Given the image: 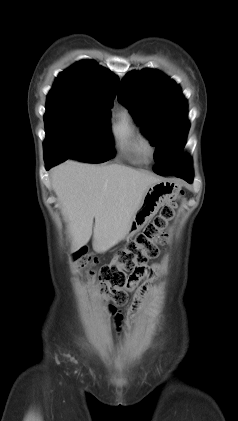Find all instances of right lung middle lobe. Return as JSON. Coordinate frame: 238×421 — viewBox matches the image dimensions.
<instances>
[{"label":"right lung middle lobe","mask_w":238,"mask_h":421,"mask_svg":"<svg viewBox=\"0 0 238 421\" xmlns=\"http://www.w3.org/2000/svg\"><path fill=\"white\" fill-rule=\"evenodd\" d=\"M112 104L48 95L44 115V157L101 163L115 155L110 133Z\"/></svg>","instance_id":"1"}]
</instances>
